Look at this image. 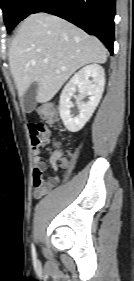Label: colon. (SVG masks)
<instances>
[{
	"label": "colon",
	"instance_id": "obj_1",
	"mask_svg": "<svg viewBox=\"0 0 134 281\" xmlns=\"http://www.w3.org/2000/svg\"><path fill=\"white\" fill-rule=\"evenodd\" d=\"M39 111L41 116L48 122H54L56 120V111L51 105H43L40 107ZM55 152L60 154V160L63 161L62 153L59 150H56Z\"/></svg>",
	"mask_w": 134,
	"mask_h": 281
}]
</instances>
